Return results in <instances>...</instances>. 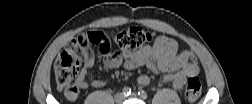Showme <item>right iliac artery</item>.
<instances>
[{"label":"right iliac artery","instance_id":"right-iliac-artery-1","mask_svg":"<svg viewBox=\"0 0 252 104\" xmlns=\"http://www.w3.org/2000/svg\"><path fill=\"white\" fill-rule=\"evenodd\" d=\"M122 93L124 96H129L131 94V89L129 87H124Z\"/></svg>","mask_w":252,"mask_h":104}]
</instances>
